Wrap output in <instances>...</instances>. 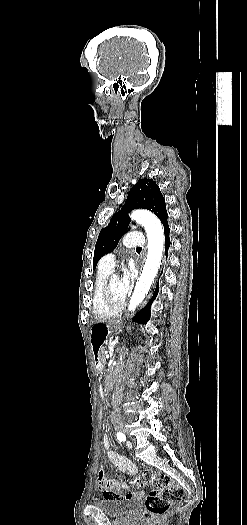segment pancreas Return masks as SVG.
<instances>
[{
	"mask_svg": "<svg viewBox=\"0 0 247 525\" xmlns=\"http://www.w3.org/2000/svg\"><path fill=\"white\" fill-rule=\"evenodd\" d=\"M106 353H108V350H107L106 348H103V349L101 350V352H99L98 359H99L100 361H103V360L105 359V355H106Z\"/></svg>",
	"mask_w": 247,
	"mask_h": 525,
	"instance_id": "1",
	"label": "pancreas"
}]
</instances>
